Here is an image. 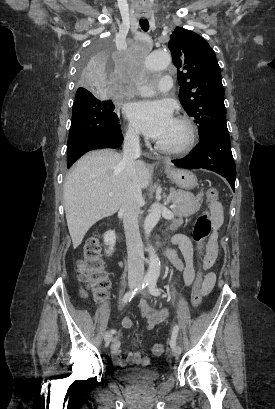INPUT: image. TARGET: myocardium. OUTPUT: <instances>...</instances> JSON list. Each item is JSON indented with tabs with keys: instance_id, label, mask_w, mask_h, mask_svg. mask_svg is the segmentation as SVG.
<instances>
[{
	"instance_id": "obj_1",
	"label": "myocardium",
	"mask_w": 275,
	"mask_h": 409,
	"mask_svg": "<svg viewBox=\"0 0 275 409\" xmlns=\"http://www.w3.org/2000/svg\"><path fill=\"white\" fill-rule=\"evenodd\" d=\"M177 124H179L184 129L183 138L174 145H166L159 142L153 141L156 150L166 153V154H178L186 151L194 142L195 130L192 122L183 116H178L174 118Z\"/></svg>"
}]
</instances>
